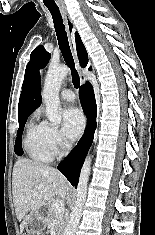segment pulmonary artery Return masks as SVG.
Returning a JSON list of instances; mask_svg holds the SVG:
<instances>
[{"label": "pulmonary artery", "mask_w": 155, "mask_h": 235, "mask_svg": "<svg viewBox=\"0 0 155 235\" xmlns=\"http://www.w3.org/2000/svg\"><path fill=\"white\" fill-rule=\"evenodd\" d=\"M61 99L67 101V102H73L75 99L74 93L70 89H64L60 93Z\"/></svg>", "instance_id": "obj_1"}]
</instances>
